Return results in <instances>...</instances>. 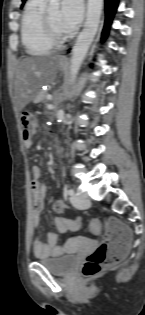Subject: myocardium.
Masks as SVG:
<instances>
[{
  "label": "myocardium",
  "mask_w": 145,
  "mask_h": 315,
  "mask_svg": "<svg viewBox=\"0 0 145 315\" xmlns=\"http://www.w3.org/2000/svg\"><path fill=\"white\" fill-rule=\"evenodd\" d=\"M42 25H43V30H44V33H45L48 41L53 46H60V45L64 44L65 42H67L68 39L70 38L69 33H67L65 35H59L57 33L54 26L52 25V22L49 18L47 11H45L43 14Z\"/></svg>",
  "instance_id": "f54148a6"
}]
</instances>
